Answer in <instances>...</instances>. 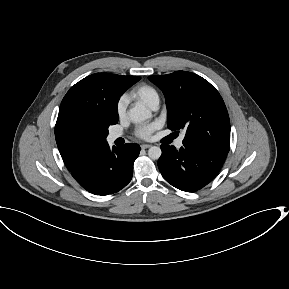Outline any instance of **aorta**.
Here are the masks:
<instances>
[{"mask_svg": "<svg viewBox=\"0 0 289 289\" xmlns=\"http://www.w3.org/2000/svg\"><path fill=\"white\" fill-rule=\"evenodd\" d=\"M129 117L133 123H141L151 117V111L144 105H136L129 110ZM161 149L157 146H152L148 150V156L157 160L161 156Z\"/></svg>", "mask_w": 289, "mask_h": 289, "instance_id": "1", "label": "aorta"}]
</instances>
